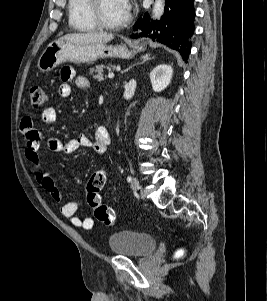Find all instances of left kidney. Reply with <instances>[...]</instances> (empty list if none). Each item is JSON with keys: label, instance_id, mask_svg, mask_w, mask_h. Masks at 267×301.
<instances>
[{"label": "left kidney", "instance_id": "1", "mask_svg": "<svg viewBox=\"0 0 267 301\" xmlns=\"http://www.w3.org/2000/svg\"><path fill=\"white\" fill-rule=\"evenodd\" d=\"M173 69L170 65L161 64L150 73L152 88L155 92H161L170 84Z\"/></svg>", "mask_w": 267, "mask_h": 301}]
</instances>
